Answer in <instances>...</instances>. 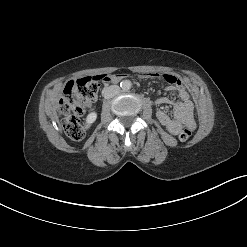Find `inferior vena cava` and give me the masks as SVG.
I'll list each match as a JSON object with an SVG mask.
<instances>
[{
  "mask_svg": "<svg viewBox=\"0 0 247 247\" xmlns=\"http://www.w3.org/2000/svg\"><path fill=\"white\" fill-rule=\"evenodd\" d=\"M120 92V87L117 85H111L103 90V96L106 99H110Z\"/></svg>",
  "mask_w": 247,
  "mask_h": 247,
  "instance_id": "obj_1",
  "label": "inferior vena cava"
}]
</instances>
